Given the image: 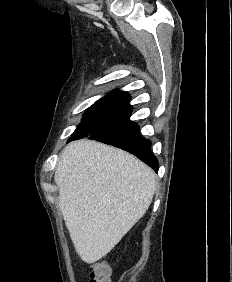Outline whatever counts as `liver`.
Wrapping results in <instances>:
<instances>
[{"label": "liver", "instance_id": "6515ba94", "mask_svg": "<svg viewBox=\"0 0 232 282\" xmlns=\"http://www.w3.org/2000/svg\"><path fill=\"white\" fill-rule=\"evenodd\" d=\"M54 180L70 238L89 264L107 255L146 213L156 190L155 173L135 156L87 139L63 149Z\"/></svg>", "mask_w": 232, "mask_h": 282}]
</instances>
